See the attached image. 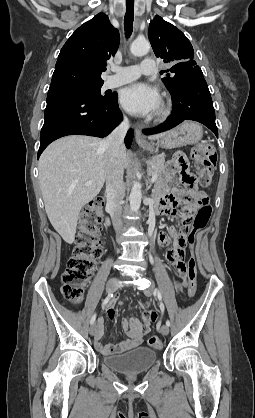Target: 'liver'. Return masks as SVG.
<instances>
[{"instance_id":"liver-1","label":"liver","mask_w":255,"mask_h":418,"mask_svg":"<svg viewBox=\"0 0 255 418\" xmlns=\"http://www.w3.org/2000/svg\"><path fill=\"white\" fill-rule=\"evenodd\" d=\"M165 133L152 135L158 140ZM102 139L72 135L50 144L39 159V182L47 216L63 240L72 244L80 210L93 200L107 178L106 150ZM123 170L129 165L124 145ZM91 185H86L87 182Z\"/></svg>"}]
</instances>
